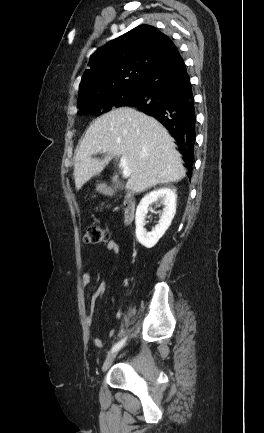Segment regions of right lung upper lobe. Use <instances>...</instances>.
Returning a JSON list of instances; mask_svg holds the SVG:
<instances>
[{
  "instance_id": "1",
  "label": "right lung upper lobe",
  "mask_w": 264,
  "mask_h": 433,
  "mask_svg": "<svg viewBox=\"0 0 264 433\" xmlns=\"http://www.w3.org/2000/svg\"><path fill=\"white\" fill-rule=\"evenodd\" d=\"M177 51L172 40L153 26L140 25L100 47L80 83L78 100L123 86L140 85Z\"/></svg>"
}]
</instances>
